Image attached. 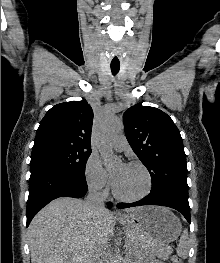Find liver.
Listing matches in <instances>:
<instances>
[{
    "label": "liver",
    "mask_w": 220,
    "mask_h": 263,
    "mask_svg": "<svg viewBox=\"0 0 220 263\" xmlns=\"http://www.w3.org/2000/svg\"><path fill=\"white\" fill-rule=\"evenodd\" d=\"M114 227V216L107 209L91 213L86 201L57 198L38 212L28 227L31 262L93 263L94 255L103 258Z\"/></svg>",
    "instance_id": "obj_1"
}]
</instances>
